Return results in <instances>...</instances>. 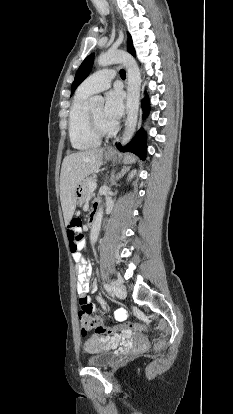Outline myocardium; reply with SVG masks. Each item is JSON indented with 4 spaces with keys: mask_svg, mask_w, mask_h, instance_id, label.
<instances>
[{
    "mask_svg": "<svg viewBox=\"0 0 233 414\" xmlns=\"http://www.w3.org/2000/svg\"><path fill=\"white\" fill-rule=\"evenodd\" d=\"M87 122H88V127H89L90 131L92 132V134L95 135L98 138H103V137L110 136V135L114 134L115 131L117 130V125H113L109 129L101 128L97 124V122H96V120H95V118H94V116H93L90 109L87 111Z\"/></svg>",
    "mask_w": 233,
    "mask_h": 414,
    "instance_id": "myocardium-1",
    "label": "myocardium"
}]
</instances>
